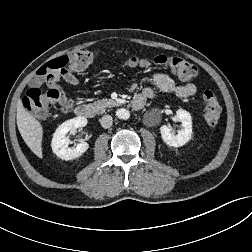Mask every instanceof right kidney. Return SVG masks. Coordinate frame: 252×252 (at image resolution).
Wrapping results in <instances>:
<instances>
[{
  "instance_id": "right-kidney-1",
  "label": "right kidney",
  "mask_w": 252,
  "mask_h": 252,
  "mask_svg": "<svg viewBox=\"0 0 252 252\" xmlns=\"http://www.w3.org/2000/svg\"><path fill=\"white\" fill-rule=\"evenodd\" d=\"M87 125L85 117H75L62 123L53 134L52 138V151L63 160H72L80 157L89 148L87 142H80L76 147L69 148V138L66 134L73 129L83 128Z\"/></svg>"
}]
</instances>
